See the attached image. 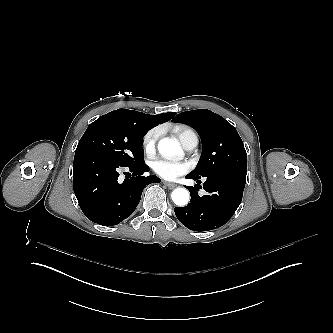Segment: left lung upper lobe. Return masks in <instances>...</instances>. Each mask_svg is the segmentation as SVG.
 Instances as JSON below:
<instances>
[{
    "instance_id": "obj_1",
    "label": "left lung upper lobe",
    "mask_w": 333,
    "mask_h": 333,
    "mask_svg": "<svg viewBox=\"0 0 333 333\" xmlns=\"http://www.w3.org/2000/svg\"><path fill=\"white\" fill-rule=\"evenodd\" d=\"M192 126L199 134L203 151L191 176L206 180L227 170L247 172V153L237 130L223 117L207 109L186 111L172 120Z\"/></svg>"
}]
</instances>
